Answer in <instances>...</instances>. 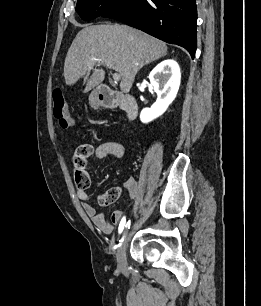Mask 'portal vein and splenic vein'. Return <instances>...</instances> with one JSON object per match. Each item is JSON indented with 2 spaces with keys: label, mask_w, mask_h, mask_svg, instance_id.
<instances>
[{
  "label": "portal vein and splenic vein",
  "mask_w": 261,
  "mask_h": 306,
  "mask_svg": "<svg viewBox=\"0 0 261 306\" xmlns=\"http://www.w3.org/2000/svg\"><path fill=\"white\" fill-rule=\"evenodd\" d=\"M94 61H97V59L96 58H92L91 61L88 64L89 67L93 66ZM112 78H113L114 81H119L121 77H120V75L118 73H114V74H112Z\"/></svg>",
  "instance_id": "obj_1"
}]
</instances>
